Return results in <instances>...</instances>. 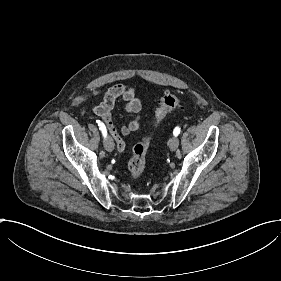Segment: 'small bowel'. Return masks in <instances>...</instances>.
<instances>
[{
  "label": "small bowel",
  "mask_w": 281,
  "mask_h": 281,
  "mask_svg": "<svg viewBox=\"0 0 281 281\" xmlns=\"http://www.w3.org/2000/svg\"><path fill=\"white\" fill-rule=\"evenodd\" d=\"M101 94L99 89H94L86 93V98L95 97ZM117 102H121L124 109L133 114L130 122L121 127L120 132L116 130L111 120V110ZM93 113L97 115L108 128L111 138L116 142L117 148L123 150L126 143L123 136H128L130 133L139 128L141 124V102L136 91L127 84H115L106 92L104 99L93 108Z\"/></svg>",
  "instance_id": "c3829d8e"
}]
</instances>
